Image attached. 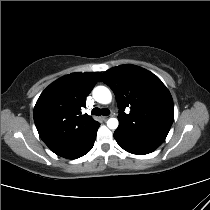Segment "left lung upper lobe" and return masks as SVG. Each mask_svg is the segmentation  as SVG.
<instances>
[{
	"instance_id": "obj_1",
	"label": "left lung upper lobe",
	"mask_w": 210,
	"mask_h": 210,
	"mask_svg": "<svg viewBox=\"0 0 210 210\" xmlns=\"http://www.w3.org/2000/svg\"><path fill=\"white\" fill-rule=\"evenodd\" d=\"M100 81L109 85L120 109L116 132L124 136L163 143L173 123V100L162 81L135 65H121L104 72ZM131 111L125 113V108Z\"/></svg>"
}]
</instances>
